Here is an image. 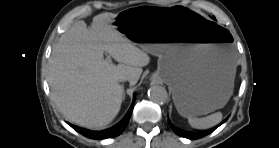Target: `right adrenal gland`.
Returning a JSON list of instances; mask_svg holds the SVG:
<instances>
[{"instance_id": "right-adrenal-gland-1", "label": "right adrenal gland", "mask_w": 279, "mask_h": 148, "mask_svg": "<svg viewBox=\"0 0 279 148\" xmlns=\"http://www.w3.org/2000/svg\"><path fill=\"white\" fill-rule=\"evenodd\" d=\"M125 99V92L123 91V100Z\"/></svg>"}]
</instances>
